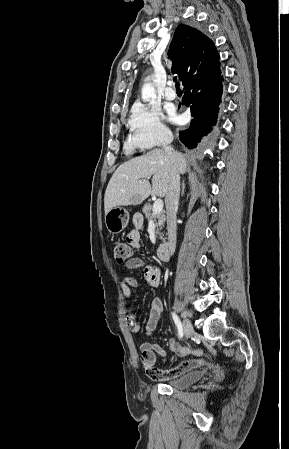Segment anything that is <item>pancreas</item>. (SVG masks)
I'll return each instance as SVG.
<instances>
[{
    "label": "pancreas",
    "mask_w": 289,
    "mask_h": 449,
    "mask_svg": "<svg viewBox=\"0 0 289 449\" xmlns=\"http://www.w3.org/2000/svg\"><path fill=\"white\" fill-rule=\"evenodd\" d=\"M142 211H143V213L145 215V218L147 220L150 221V220L154 219L156 221V223H155V226H156L155 233H156V235H159L160 239L164 242L165 238H164V234L161 233V230L163 229V227L165 225V221H166L165 212L161 211L160 213H158L156 215H153V213H152V206L150 204H146L143 207Z\"/></svg>",
    "instance_id": "obj_1"
}]
</instances>
